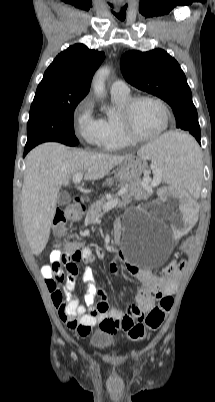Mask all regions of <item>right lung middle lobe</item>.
<instances>
[{"instance_id": "1", "label": "right lung middle lobe", "mask_w": 215, "mask_h": 402, "mask_svg": "<svg viewBox=\"0 0 215 402\" xmlns=\"http://www.w3.org/2000/svg\"><path fill=\"white\" fill-rule=\"evenodd\" d=\"M82 99L35 95L27 123L28 140L25 147L33 148L47 141L78 145L73 129V114Z\"/></svg>"}]
</instances>
